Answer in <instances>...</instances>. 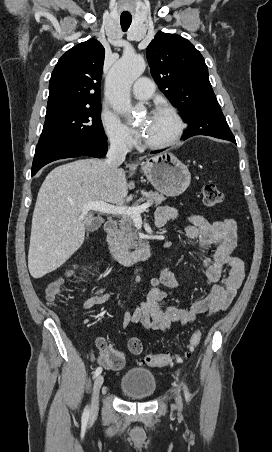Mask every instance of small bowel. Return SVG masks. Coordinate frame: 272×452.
<instances>
[{
    "label": "small bowel",
    "mask_w": 272,
    "mask_h": 452,
    "mask_svg": "<svg viewBox=\"0 0 272 452\" xmlns=\"http://www.w3.org/2000/svg\"><path fill=\"white\" fill-rule=\"evenodd\" d=\"M178 211L171 206H160L155 215V223L163 227L169 221H176ZM188 224L184 234L188 244L198 247V259L201 263L203 282L209 292L205 296L192 301L187 308L161 305L167 298L165 288L173 289L179 286L176 276L164 267L157 278H153L146 287L145 300L138 306L125 312L123 327L140 324L144 329L165 332L172 325H187L202 313L213 314L227 309L232 303L244 277V263L237 255V225L232 219L207 221L200 215L192 214L187 218ZM172 256H165L169 263ZM111 292L103 287L96 290L83 303L84 310H90L96 305L107 302ZM139 340L132 336L131 340ZM104 341L103 339H98ZM141 342V341H140ZM142 344V343H141ZM119 369V368H118Z\"/></svg>",
    "instance_id": "1"
}]
</instances>
